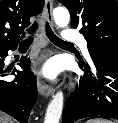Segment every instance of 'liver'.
I'll return each mask as SVG.
<instances>
[{"instance_id": "1", "label": "liver", "mask_w": 118, "mask_h": 123, "mask_svg": "<svg viewBox=\"0 0 118 123\" xmlns=\"http://www.w3.org/2000/svg\"><path fill=\"white\" fill-rule=\"evenodd\" d=\"M0 123H13V121L8 115L0 112Z\"/></svg>"}]
</instances>
